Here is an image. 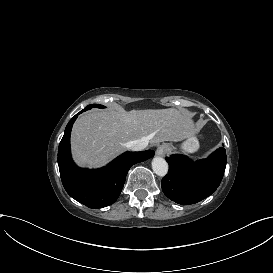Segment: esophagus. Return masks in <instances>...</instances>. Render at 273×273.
I'll list each match as a JSON object with an SVG mask.
<instances>
[{
	"instance_id": "esophagus-1",
	"label": "esophagus",
	"mask_w": 273,
	"mask_h": 273,
	"mask_svg": "<svg viewBox=\"0 0 273 273\" xmlns=\"http://www.w3.org/2000/svg\"><path fill=\"white\" fill-rule=\"evenodd\" d=\"M168 151V146L166 145H161L157 148L156 150V155L157 156H164Z\"/></svg>"
}]
</instances>
